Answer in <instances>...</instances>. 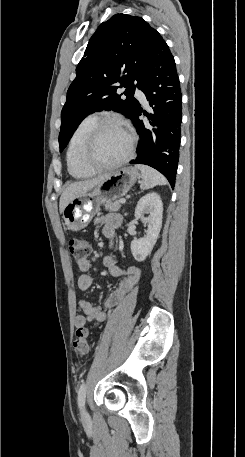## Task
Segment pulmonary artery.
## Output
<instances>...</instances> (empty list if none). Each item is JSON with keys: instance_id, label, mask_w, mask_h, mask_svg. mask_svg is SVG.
Masks as SVG:
<instances>
[{"instance_id": "pulmonary-artery-1", "label": "pulmonary artery", "mask_w": 245, "mask_h": 457, "mask_svg": "<svg viewBox=\"0 0 245 457\" xmlns=\"http://www.w3.org/2000/svg\"><path fill=\"white\" fill-rule=\"evenodd\" d=\"M133 97L135 98V101L136 102H145L146 101V94L144 93V90L143 89H134L133 90ZM143 108H148V103H143Z\"/></svg>"}]
</instances>
